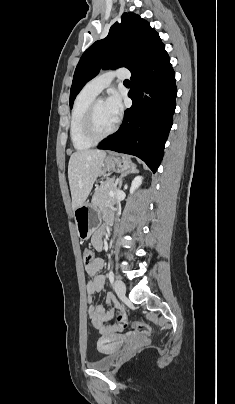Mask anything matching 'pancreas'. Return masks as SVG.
I'll list each match as a JSON object with an SVG mask.
<instances>
[{
	"instance_id": "cf45deb5",
	"label": "pancreas",
	"mask_w": 235,
	"mask_h": 404,
	"mask_svg": "<svg viewBox=\"0 0 235 404\" xmlns=\"http://www.w3.org/2000/svg\"><path fill=\"white\" fill-rule=\"evenodd\" d=\"M116 185L117 182L115 179H109L102 182L92 197V204L100 208H104L115 203L116 198L110 197L109 193L115 190Z\"/></svg>"
}]
</instances>
